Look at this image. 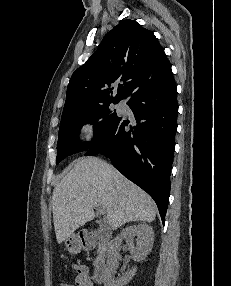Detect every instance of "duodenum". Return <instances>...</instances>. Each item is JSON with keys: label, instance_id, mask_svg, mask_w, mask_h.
Masks as SVG:
<instances>
[{"label": "duodenum", "instance_id": "duodenum-1", "mask_svg": "<svg viewBox=\"0 0 231 286\" xmlns=\"http://www.w3.org/2000/svg\"><path fill=\"white\" fill-rule=\"evenodd\" d=\"M110 236L104 232L95 234L84 233L80 235L79 244L82 250L96 249L98 257L94 268V279L101 283L107 272L106 254L109 247Z\"/></svg>", "mask_w": 231, "mask_h": 286}]
</instances>
